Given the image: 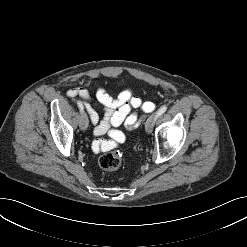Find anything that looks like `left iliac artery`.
I'll return each instance as SVG.
<instances>
[{
    "mask_svg": "<svg viewBox=\"0 0 247 247\" xmlns=\"http://www.w3.org/2000/svg\"><path fill=\"white\" fill-rule=\"evenodd\" d=\"M167 110V106L163 105L157 112V118L160 117Z\"/></svg>",
    "mask_w": 247,
    "mask_h": 247,
    "instance_id": "obj_1",
    "label": "left iliac artery"
}]
</instances>
